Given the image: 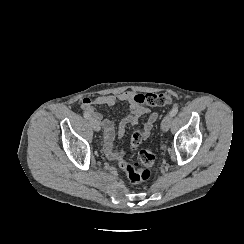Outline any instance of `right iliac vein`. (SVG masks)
Instances as JSON below:
<instances>
[{"mask_svg": "<svg viewBox=\"0 0 244 244\" xmlns=\"http://www.w3.org/2000/svg\"><path fill=\"white\" fill-rule=\"evenodd\" d=\"M90 123H91L92 128L95 131L99 132L101 130L100 123H99V121L96 118H91L90 119Z\"/></svg>", "mask_w": 244, "mask_h": 244, "instance_id": "1", "label": "right iliac vein"}]
</instances>
